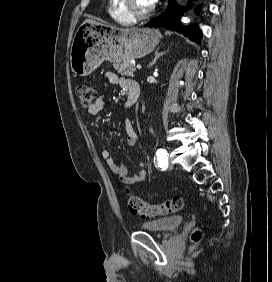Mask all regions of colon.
Listing matches in <instances>:
<instances>
[{
    "instance_id": "1",
    "label": "colon",
    "mask_w": 272,
    "mask_h": 282,
    "mask_svg": "<svg viewBox=\"0 0 272 282\" xmlns=\"http://www.w3.org/2000/svg\"><path fill=\"white\" fill-rule=\"evenodd\" d=\"M75 92L83 107H90L96 100L97 90L93 86L80 84L77 86ZM125 194L129 211L143 218L168 216L182 209L184 205V200L181 196L173 197L159 204H150L143 201L138 196L131 195L127 188L125 189ZM201 238V231L196 230L193 232L192 239L195 243H198Z\"/></svg>"
}]
</instances>
